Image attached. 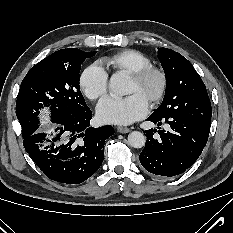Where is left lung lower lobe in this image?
<instances>
[{"instance_id": "1", "label": "left lung lower lobe", "mask_w": 233, "mask_h": 233, "mask_svg": "<svg viewBox=\"0 0 233 233\" xmlns=\"http://www.w3.org/2000/svg\"><path fill=\"white\" fill-rule=\"evenodd\" d=\"M147 120L158 126L165 122L170 128L166 131L158 127V138L153 136L157 129L145 131L147 140L139 156L142 166L164 177L179 175L190 168L207 143L211 121L187 114L151 115Z\"/></svg>"}]
</instances>
